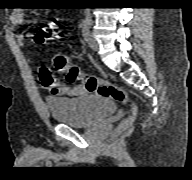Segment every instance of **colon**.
I'll use <instances>...</instances> for the list:
<instances>
[{
    "instance_id": "5ec220e1",
    "label": "colon",
    "mask_w": 192,
    "mask_h": 180,
    "mask_svg": "<svg viewBox=\"0 0 192 180\" xmlns=\"http://www.w3.org/2000/svg\"><path fill=\"white\" fill-rule=\"evenodd\" d=\"M33 38L36 43L45 44L49 41L61 39L62 33L53 23H48L40 28ZM53 63L55 69L65 77L68 83H79L88 93L97 94L104 98H110L117 102L129 104L131 113L123 121L121 128H127L132 124L136 114V107L124 89L116 84L84 73L78 65L74 64L63 54L56 55L53 59Z\"/></svg>"
}]
</instances>
